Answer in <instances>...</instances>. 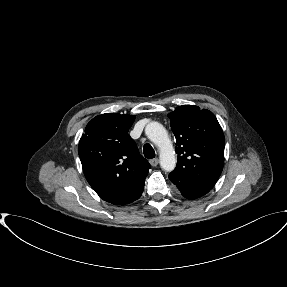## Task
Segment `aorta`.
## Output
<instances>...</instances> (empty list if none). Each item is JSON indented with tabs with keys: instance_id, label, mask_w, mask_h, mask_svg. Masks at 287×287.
<instances>
[{
	"instance_id": "1",
	"label": "aorta",
	"mask_w": 287,
	"mask_h": 287,
	"mask_svg": "<svg viewBox=\"0 0 287 287\" xmlns=\"http://www.w3.org/2000/svg\"><path fill=\"white\" fill-rule=\"evenodd\" d=\"M145 134L159 148L161 168L167 172L174 170L176 167V156L163 125L155 121L149 122L145 127Z\"/></svg>"
}]
</instances>
